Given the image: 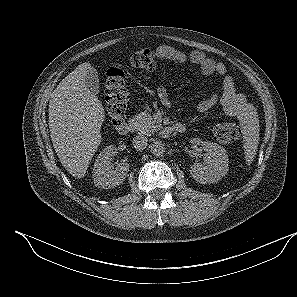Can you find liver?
Wrapping results in <instances>:
<instances>
[{"label": "liver", "mask_w": 297, "mask_h": 297, "mask_svg": "<svg viewBox=\"0 0 297 297\" xmlns=\"http://www.w3.org/2000/svg\"><path fill=\"white\" fill-rule=\"evenodd\" d=\"M91 64L84 62L67 75L49 101V128L53 147L63 167L82 178L101 144L105 113L96 96L85 87Z\"/></svg>", "instance_id": "1"}]
</instances>
